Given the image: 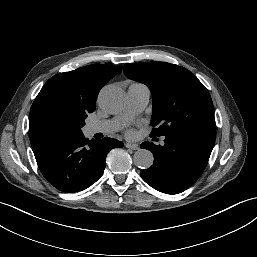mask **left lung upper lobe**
<instances>
[{
    "label": "left lung upper lobe",
    "instance_id": "1",
    "mask_svg": "<svg viewBox=\"0 0 257 257\" xmlns=\"http://www.w3.org/2000/svg\"><path fill=\"white\" fill-rule=\"evenodd\" d=\"M125 75L147 85L153 95L150 136L214 129L213 103L206 87L189 70L166 62L125 64Z\"/></svg>",
    "mask_w": 257,
    "mask_h": 257
}]
</instances>
